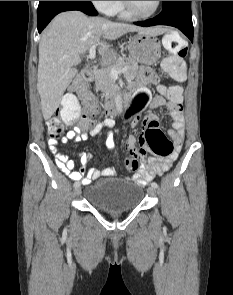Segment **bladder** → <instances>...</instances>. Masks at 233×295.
Masks as SVG:
<instances>
[{"label": "bladder", "instance_id": "1", "mask_svg": "<svg viewBox=\"0 0 233 295\" xmlns=\"http://www.w3.org/2000/svg\"><path fill=\"white\" fill-rule=\"evenodd\" d=\"M143 189L128 180L104 178L90 183L85 191L86 198L98 208L112 212L135 209L142 201Z\"/></svg>", "mask_w": 233, "mask_h": 295}]
</instances>
